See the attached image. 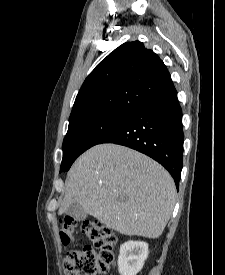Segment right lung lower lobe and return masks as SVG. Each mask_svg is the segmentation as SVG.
Segmentation results:
<instances>
[{
	"label": "right lung lower lobe",
	"instance_id": "1",
	"mask_svg": "<svg viewBox=\"0 0 225 275\" xmlns=\"http://www.w3.org/2000/svg\"><path fill=\"white\" fill-rule=\"evenodd\" d=\"M183 140L182 111L175 90L132 110L98 144L115 143L150 156L169 171L178 188Z\"/></svg>",
	"mask_w": 225,
	"mask_h": 275
}]
</instances>
